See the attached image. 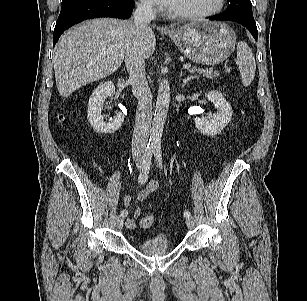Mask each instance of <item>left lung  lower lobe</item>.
I'll list each match as a JSON object with an SVG mask.
<instances>
[{"instance_id": "0a47b994", "label": "left lung lower lobe", "mask_w": 307, "mask_h": 301, "mask_svg": "<svg viewBox=\"0 0 307 301\" xmlns=\"http://www.w3.org/2000/svg\"><path fill=\"white\" fill-rule=\"evenodd\" d=\"M210 20H222V21H234L244 25L257 40L258 31L254 18L243 17V16H227V15H217L209 18Z\"/></svg>"}]
</instances>
